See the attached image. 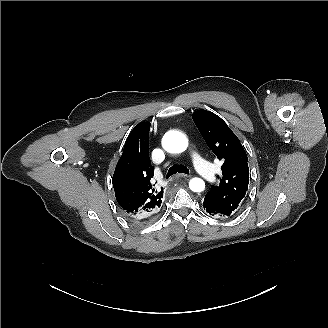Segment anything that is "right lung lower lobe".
I'll use <instances>...</instances> for the list:
<instances>
[{
    "label": "right lung lower lobe",
    "mask_w": 328,
    "mask_h": 328,
    "mask_svg": "<svg viewBox=\"0 0 328 328\" xmlns=\"http://www.w3.org/2000/svg\"><path fill=\"white\" fill-rule=\"evenodd\" d=\"M130 220H132V221H135V219H133V218H131V217H129V216H127Z\"/></svg>",
    "instance_id": "1"
}]
</instances>
